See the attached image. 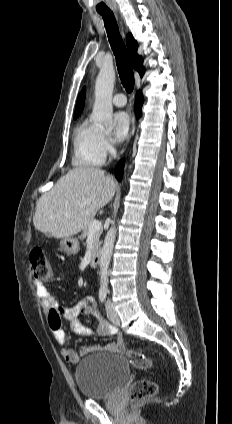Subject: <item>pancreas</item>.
<instances>
[{"instance_id": "cf45deb5", "label": "pancreas", "mask_w": 232, "mask_h": 424, "mask_svg": "<svg viewBox=\"0 0 232 424\" xmlns=\"http://www.w3.org/2000/svg\"><path fill=\"white\" fill-rule=\"evenodd\" d=\"M93 221L94 220H91L88 223L87 227L83 230V233L80 236L81 239H84V238H86L87 236L90 235L91 232H90V229L89 228H90V225H91V223ZM101 234H102V229H100L99 231H96L94 233V249H93V255L95 254V252L98 250V248L100 246L99 238H100Z\"/></svg>"}]
</instances>
